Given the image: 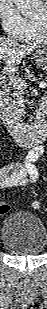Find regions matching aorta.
Instances as JSON below:
<instances>
[{
  "label": "aorta",
  "mask_w": 47,
  "mask_h": 309,
  "mask_svg": "<svg viewBox=\"0 0 47 309\" xmlns=\"http://www.w3.org/2000/svg\"><path fill=\"white\" fill-rule=\"evenodd\" d=\"M23 16H31L37 11L38 0H13Z\"/></svg>",
  "instance_id": "762f6f07"
}]
</instances>
